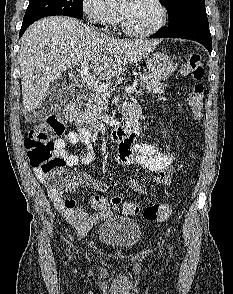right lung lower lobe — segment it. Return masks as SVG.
<instances>
[{"mask_svg":"<svg viewBox=\"0 0 233 294\" xmlns=\"http://www.w3.org/2000/svg\"><path fill=\"white\" fill-rule=\"evenodd\" d=\"M28 26H29V25H22V28H21V30H20V34H19L20 37H21L22 34L25 32V30L27 29Z\"/></svg>","mask_w":233,"mask_h":294,"instance_id":"obj_1","label":"right lung lower lobe"}]
</instances>
